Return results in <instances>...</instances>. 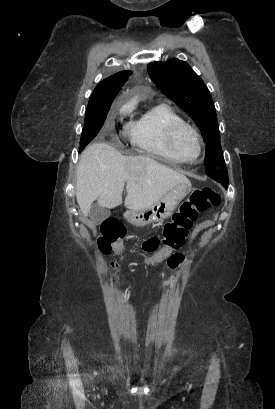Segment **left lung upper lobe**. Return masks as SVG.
<instances>
[{"label":"left lung upper lobe","mask_w":275,"mask_h":409,"mask_svg":"<svg viewBox=\"0 0 275 409\" xmlns=\"http://www.w3.org/2000/svg\"><path fill=\"white\" fill-rule=\"evenodd\" d=\"M156 86L196 122L207 144L206 173L217 182L228 184L216 110L210 92L202 79L184 61L171 59L148 65Z\"/></svg>","instance_id":"left-lung-upper-lobe-1"}]
</instances>
